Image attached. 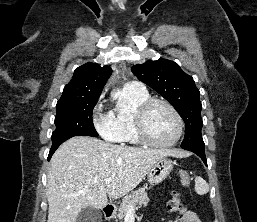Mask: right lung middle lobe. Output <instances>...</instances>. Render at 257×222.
<instances>
[{"label":"right lung middle lobe","instance_id":"1","mask_svg":"<svg viewBox=\"0 0 257 222\" xmlns=\"http://www.w3.org/2000/svg\"><path fill=\"white\" fill-rule=\"evenodd\" d=\"M98 99L99 96H89L57 102L56 129L52 133V147L74 136H98L92 121L93 108Z\"/></svg>","mask_w":257,"mask_h":222}]
</instances>
